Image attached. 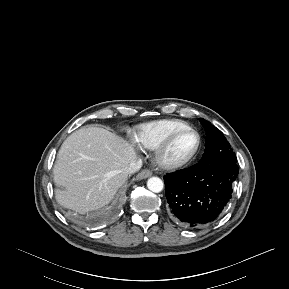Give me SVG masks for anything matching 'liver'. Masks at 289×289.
<instances>
[{
	"label": "liver",
	"instance_id": "liver-1",
	"mask_svg": "<svg viewBox=\"0 0 289 289\" xmlns=\"http://www.w3.org/2000/svg\"><path fill=\"white\" fill-rule=\"evenodd\" d=\"M137 158L130 143L98 127L76 130L63 142L53 168L57 202L79 213L110 202L127 181L124 169Z\"/></svg>",
	"mask_w": 289,
	"mask_h": 289
}]
</instances>
